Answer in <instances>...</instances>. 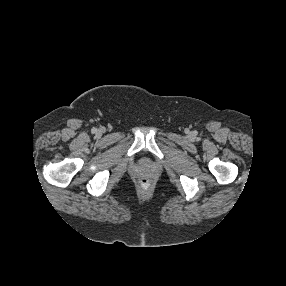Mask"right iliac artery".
Segmentation results:
<instances>
[{
    "instance_id": "1",
    "label": "right iliac artery",
    "mask_w": 286,
    "mask_h": 286,
    "mask_svg": "<svg viewBox=\"0 0 286 286\" xmlns=\"http://www.w3.org/2000/svg\"><path fill=\"white\" fill-rule=\"evenodd\" d=\"M95 132H96V128H93V129H92V133H95Z\"/></svg>"
}]
</instances>
